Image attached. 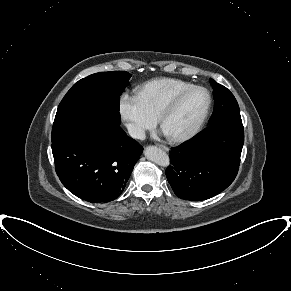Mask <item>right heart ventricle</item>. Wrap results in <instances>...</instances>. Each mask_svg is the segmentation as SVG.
Listing matches in <instances>:
<instances>
[{
  "label": "right heart ventricle",
  "mask_w": 291,
  "mask_h": 291,
  "mask_svg": "<svg viewBox=\"0 0 291 291\" xmlns=\"http://www.w3.org/2000/svg\"><path fill=\"white\" fill-rule=\"evenodd\" d=\"M192 85V83L181 79L161 77L139 86L136 90V96L145 109L157 118L172 97Z\"/></svg>",
  "instance_id": "1"
}]
</instances>
